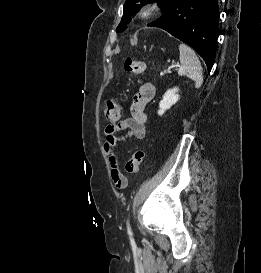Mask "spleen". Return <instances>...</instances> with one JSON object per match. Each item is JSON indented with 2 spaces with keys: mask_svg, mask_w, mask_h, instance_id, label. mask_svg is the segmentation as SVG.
Listing matches in <instances>:
<instances>
[{
  "mask_svg": "<svg viewBox=\"0 0 261 273\" xmlns=\"http://www.w3.org/2000/svg\"><path fill=\"white\" fill-rule=\"evenodd\" d=\"M181 67L178 70L180 76H187L195 82V88L203 83V69L196 53L186 44L179 45Z\"/></svg>",
  "mask_w": 261,
  "mask_h": 273,
  "instance_id": "spleen-1",
  "label": "spleen"
}]
</instances>
